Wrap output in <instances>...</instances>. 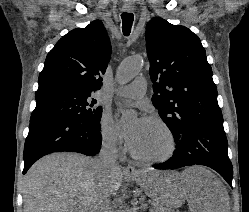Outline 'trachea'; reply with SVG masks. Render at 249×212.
<instances>
[{
  "label": "trachea",
  "instance_id": "obj_1",
  "mask_svg": "<svg viewBox=\"0 0 249 212\" xmlns=\"http://www.w3.org/2000/svg\"><path fill=\"white\" fill-rule=\"evenodd\" d=\"M122 21H123V25H122V30L125 36H128L131 32V27H132V23L134 20V15L133 13H122L121 15Z\"/></svg>",
  "mask_w": 249,
  "mask_h": 212
}]
</instances>
